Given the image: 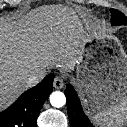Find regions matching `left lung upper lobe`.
<instances>
[{
	"instance_id": "5c2ea615",
	"label": "left lung upper lobe",
	"mask_w": 127,
	"mask_h": 127,
	"mask_svg": "<svg viewBox=\"0 0 127 127\" xmlns=\"http://www.w3.org/2000/svg\"><path fill=\"white\" fill-rule=\"evenodd\" d=\"M110 11L112 13V25H127V17L123 13L115 9H111Z\"/></svg>"
}]
</instances>
